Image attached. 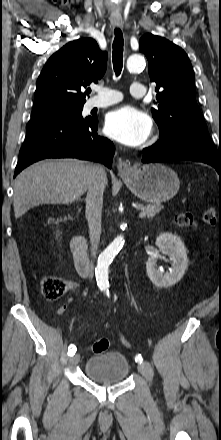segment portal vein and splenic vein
Listing matches in <instances>:
<instances>
[{"label":"portal vein and splenic vein","mask_w":221,"mask_h":440,"mask_svg":"<svg viewBox=\"0 0 221 440\" xmlns=\"http://www.w3.org/2000/svg\"><path fill=\"white\" fill-rule=\"evenodd\" d=\"M139 217H140V218L145 217V213H144L143 211H141V212L139 213Z\"/></svg>","instance_id":"portal-vein-and-splenic-vein-1"}]
</instances>
